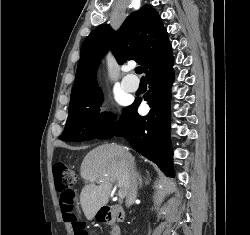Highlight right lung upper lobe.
I'll return each mask as SVG.
<instances>
[{
	"label": "right lung upper lobe",
	"instance_id": "obj_1",
	"mask_svg": "<svg viewBox=\"0 0 250 235\" xmlns=\"http://www.w3.org/2000/svg\"><path fill=\"white\" fill-rule=\"evenodd\" d=\"M168 45V35L162 20L149 5H144L130 15L116 32L107 24L98 26L82 44L70 102L98 89L95 72L102 56L109 49L119 64L135 60L146 71Z\"/></svg>",
	"mask_w": 250,
	"mask_h": 235
}]
</instances>
